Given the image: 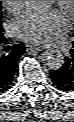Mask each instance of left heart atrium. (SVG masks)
Segmentation results:
<instances>
[{
	"label": "left heart atrium",
	"mask_w": 74,
	"mask_h": 122,
	"mask_svg": "<svg viewBox=\"0 0 74 122\" xmlns=\"http://www.w3.org/2000/svg\"><path fill=\"white\" fill-rule=\"evenodd\" d=\"M69 19L57 9L31 10L22 14L15 22L17 35L25 41L46 44L64 32Z\"/></svg>",
	"instance_id": "39dd6f15"
}]
</instances>
